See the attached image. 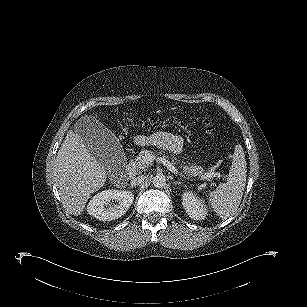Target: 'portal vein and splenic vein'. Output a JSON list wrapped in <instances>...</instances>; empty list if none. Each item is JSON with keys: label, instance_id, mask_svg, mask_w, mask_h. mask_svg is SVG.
Segmentation results:
<instances>
[{"label": "portal vein and splenic vein", "instance_id": "18ae733b", "mask_svg": "<svg viewBox=\"0 0 307 307\" xmlns=\"http://www.w3.org/2000/svg\"><path fill=\"white\" fill-rule=\"evenodd\" d=\"M153 160H155V156H153L152 154H147L144 157V161L146 163H151V162H153ZM163 164L167 167V169L169 171H171L173 173L178 172V170L172 165V163L165 161ZM211 177H212V174H210V173L203 174V175L200 176V178L203 179V180H209V179H211Z\"/></svg>", "mask_w": 307, "mask_h": 307}]
</instances>
